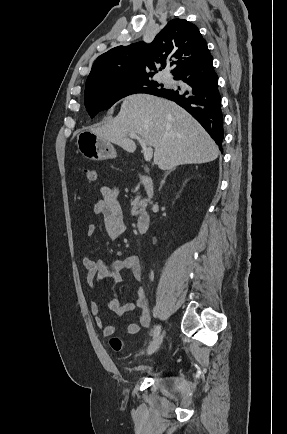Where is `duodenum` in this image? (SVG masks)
Returning a JSON list of instances; mask_svg holds the SVG:
<instances>
[{"label": "duodenum", "mask_w": 287, "mask_h": 434, "mask_svg": "<svg viewBox=\"0 0 287 434\" xmlns=\"http://www.w3.org/2000/svg\"><path fill=\"white\" fill-rule=\"evenodd\" d=\"M139 178H140V180H141V182H142V184L144 186L146 198H151L153 196V182H152V178L149 175L145 174V173H141L140 176H139ZM150 221H151L150 215L148 213H146V212H142L138 216V219H137V229H138V232L140 234L146 233V231L149 228Z\"/></svg>", "instance_id": "1"}]
</instances>
